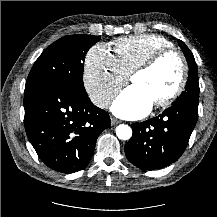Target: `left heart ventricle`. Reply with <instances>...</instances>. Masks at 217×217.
I'll return each mask as SVG.
<instances>
[{
  "label": "left heart ventricle",
  "instance_id": "b2bd125f",
  "mask_svg": "<svg viewBox=\"0 0 217 217\" xmlns=\"http://www.w3.org/2000/svg\"><path fill=\"white\" fill-rule=\"evenodd\" d=\"M180 67L174 57L162 61L155 69L135 75L131 82L138 86L153 104L168 96L176 87Z\"/></svg>",
  "mask_w": 217,
  "mask_h": 217
}]
</instances>
